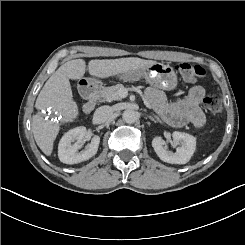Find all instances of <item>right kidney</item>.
<instances>
[{"label":"right kidney","instance_id":"ca27d5eb","mask_svg":"<svg viewBox=\"0 0 245 245\" xmlns=\"http://www.w3.org/2000/svg\"><path fill=\"white\" fill-rule=\"evenodd\" d=\"M86 133V127L79 126L69 130L63 135L58 145V157L62 163H80L88 160L97 153L100 137L96 135L91 139V142L86 145L84 150L78 152L83 145Z\"/></svg>","mask_w":245,"mask_h":245}]
</instances>
